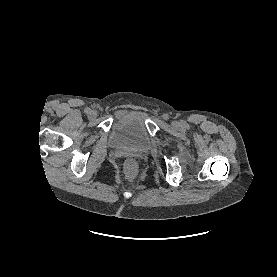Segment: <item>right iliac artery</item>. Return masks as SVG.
I'll list each match as a JSON object with an SVG mask.
<instances>
[{"label": "right iliac artery", "mask_w": 277, "mask_h": 277, "mask_svg": "<svg viewBox=\"0 0 277 277\" xmlns=\"http://www.w3.org/2000/svg\"><path fill=\"white\" fill-rule=\"evenodd\" d=\"M84 112H85L86 114H90L91 109H90V108H86V109L84 110Z\"/></svg>", "instance_id": "1"}]
</instances>
